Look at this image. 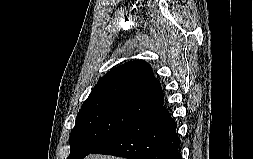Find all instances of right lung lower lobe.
<instances>
[{
	"instance_id": "1",
	"label": "right lung lower lobe",
	"mask_w": 253,
	"mask_h": 159,
	"mask_svg": "<svg viewBox=\"0 0 253 159\" xmlns=\"http://www.w3.org/2000/svg\"><path fill=\"white\" fill-rule=\"evenodd\" d=\"M177 123L163 104L93 152L128 159H182Z\"/></svg>"
}]
</instances>
